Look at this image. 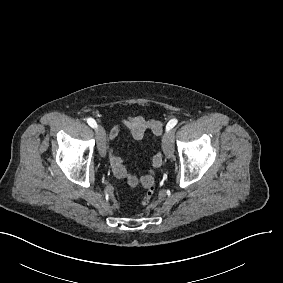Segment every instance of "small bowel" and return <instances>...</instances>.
Listing matches in <instances>:
<instances>
[{
    "label": "small bowel",
    "instance_id": "obj_1",
    "mask_svg": "<svg viewBox=\"0 0 283 283\" xmlns=\"http://www.w3.org/2000/svg\"><path fill=\"white\" fill-rule=\"evenodd\" d=\"M123 130H126L130 133L134 140L140 141L144 138L147 131H150L154 136L159 137L162 135V126L157 121H147L142 116L131 115L126 118H123L120 123L114 126L108 133V138L110 140H115L119 137ZM108 158L110 166L114 176L118 179H121L122 183L126 184L129 189H137L143 186L144 181L141 178L136 180H130L126 166L124 165L122 159L119 155L112 149H109ZM163 157L161 152L156 151L152 157V167L158 169L162 166ZM133 173L138 174L141 171L140 166L135 165L132 168Z\"/></svg>",
    "mask_w": 283,
    "mask_h": 283
}]
</instances>
